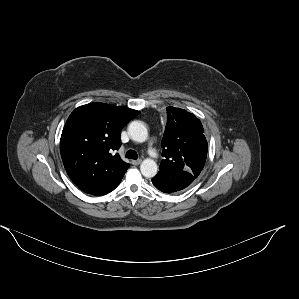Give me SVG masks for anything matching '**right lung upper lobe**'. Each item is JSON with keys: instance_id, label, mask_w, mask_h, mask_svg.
<instances>
[{"instance_id": "right-lung-upper-lobe-1", "label": "right lung upper lobe", "mask_w": 299, "mask_h": 299, "mask_svg": "<svg viewBox=\"0 0 299 299\" xmlns=\"http://www.w3.org/2000/svg\"><path fill=\"white\" fill-rule=\"evenodd\" d=\"M139 113L127 107L90 103L70 114L60 152L67 174L81 190L101 196L119 185L129 164L114 151L121 145L120 130Z\"/></svg>"}]
</instances>
